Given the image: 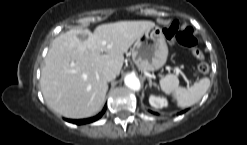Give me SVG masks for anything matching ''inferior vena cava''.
Wrapping results in <instances>:
<instances>
[{"instance_id": "602c4592", "label": "inferior vena cava", "mask_w": 247, "mask_h": 145, "mask_svg": "<svg viewBox=\"0 0 247 145\" xmlns=\"http://www.w3.org/2000/svg\"><path fill=\"white\" fill-rule=\"evenodd\" d=\"M102 75L104 79L108 82L116 78V73L109 68L104 69Z\"/></svg>"}]
</instances>
